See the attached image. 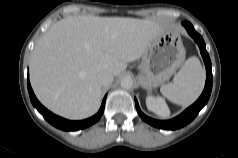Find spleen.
<instances>
[{
	"label": "spleen",
	"mask_w": 238,
	"mask_h": 158,
	"mask_svg": "<svg viewBox=\"0 0 238 158\" xmlns=\"http://www.w3.org/2000/svg\"><path fill=\"white\" fill-rule=\"evenodd\" d=\"M205 82V72L199 59L188 58L171 83L162 85L160 92L169 101L188 106L200 96Z\"/></svg>",
	"instance_id": "3e777b00"
}]
</instances>
